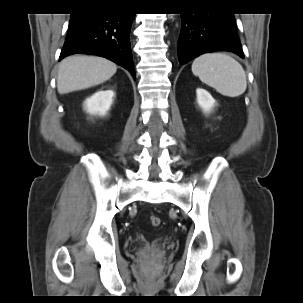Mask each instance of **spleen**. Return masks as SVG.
Wrapping results in <instances>:
<instances>
[{"mask_svg":"<svg viewBox=\"0 0 303 303\" xmlns=\"http://www.w3.org/2000/svg\"><path fill=\"white\" fill-rule=\"evenodd\" d=\"M192 72L223 96L238 97L247 88L243 67L225 53L201 55L193 61Z\"/></svg>","mask_w":303,"mask_h":303,"instance_id":"spleen-1","label":"spleen"}]
</instances>
